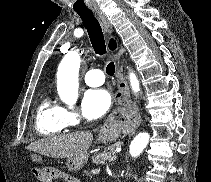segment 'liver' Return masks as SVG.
Returning a JSON list of instances; mask_svg holds the SVG:
<instances>
[{"label":"liver","instance_id":"1","mask_svg":"<svg viewBox=\"0 0 211 182\" xmlns=\"http://www.w3.org/2000/svg\"><path fill=\"white\" fill-rule=\"evenodd\" d=\"M92 141V133L77 132L35 141L27 148L48 157L72 158L87 154Z\"/></svg>","mask_w":211,"mask_h":182}]
</instances>
